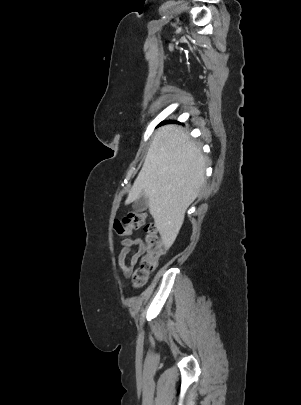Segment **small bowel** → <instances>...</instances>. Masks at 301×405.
Listing matches in <instances>:
<instances>
[{"label": "small bowel", "instance_id": "c3829d8e", "mask_svg": "<svg viewBox=\"0 0 301 405\" xmlns=\"http://www.w3.org/2000/svg\"><path fill=\"white\" fill-rule=\"evenodd\" d=\"M121 244L122 248L118 255V262L123 275L129 277L141 255L143 240L139 237L124 238ZM132 248H136V252L130 257L129 261L126 262L127 256Z\"/></svg>", "mask_w": 301, "mask_h": 405}]
</instances>
